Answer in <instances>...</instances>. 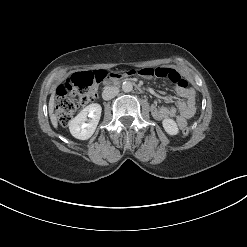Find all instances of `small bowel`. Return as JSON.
<instances>
[{
  "mask_svg": "<svg viewBox=\"0 0 247 247\" xmlns=\"http://www.w3.org/2000/svg\"><path fill=\"white\" fill-rule=\"evenodd\" d=\"M130 75L137 74L143 78H167L175 85V92L183 98L177 101L173 106H157L151 107V113L157 120H164L171 117H176L177 125L182 128L187 124V121L194 115L196 111L195 92L188 86L186 79L175 69L167 67H145L138 70L130 69ZM114 77H119L120 74H114Z\"/></svg>",
  "mask_w": 247,
  "mask_h": 247,
  "instance_id": "1",
  "label": "small bowel"
}]
</instances>
